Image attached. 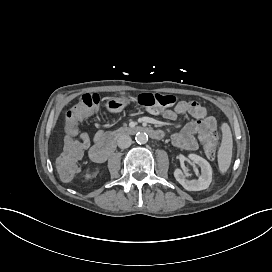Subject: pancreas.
Returning <instances> with one entry per match:
<instances>
[{
    "mask_svg": "<svg viewBox=\"0 0 272 272\" xmlns=\"http://www.w3.org/2000/svg\"><path fill=\"white\" fill-rule=\"evenodd\" d=\"M128 129H129V128L125 125L124 127L120 128V129H118V130H116V132H117L118 134H120V133L126 132Z\"/></svg>",
    "mask_w": 272,
    "mask_h": 272,
    "instance_id": "pancreas-1",
    "label": "pancreas"
}]
</instances>
